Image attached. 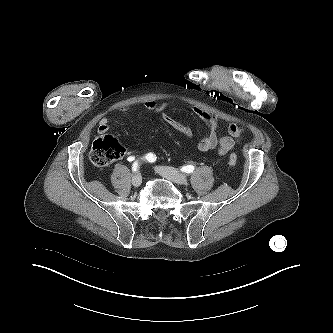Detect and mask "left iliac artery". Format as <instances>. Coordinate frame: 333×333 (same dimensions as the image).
<instances>
[{
    "instance_id": "44dca946",
    "label": "left iliac artery",
    "mask_w": 333,
    "mask_h": 333,
    "mask_svg": "<svg viewBox=\"0 0 333 333\" xmlns=\"http://www.w3.org/2000/svg\"><path fill=\"white\" fill-rule=\"evenodd\" d=\"M195 167L193 165H186L181 168V171L185 173H192L194 171Z\"/></svg>"
}]
</instances>
